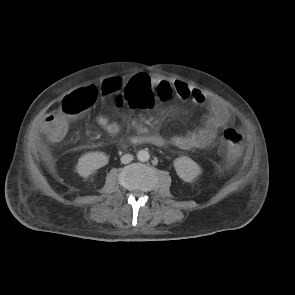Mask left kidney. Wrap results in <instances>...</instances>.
Here are the masks:
<instances>
[{"label": "left kidney", "mask_w": 295, "mask_h": 295, "mask_svg": "<svg viewBox=\"0 0 295 295\" xmlns=\"http://www.w3.org/2000/svg\"><path fill=\"white\" fill-rule=\"evenodd\" d=\"M173 165L177 175L188 183H192L201 172L199 165L187 156L176 158Z\"/></svg>", "instance_id": "5707ae66"}]
</instances>
